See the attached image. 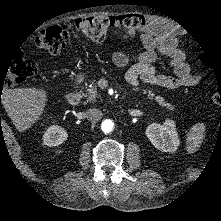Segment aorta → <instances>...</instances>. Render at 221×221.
I'll use <instances>...</instances> for the list:
<instances>
[{"label":"aorta","instance_id":"1","mask_svg":"<svg viewBox=\"0 0 221 221\" xmlns=\"http://www.w3.org/2000/svg\"><path fill=\"white\" fill-rule=\"evenodd\" d=\"M101 128L104 133H111L115 128V124L111 119H106L102 122Z\"/></svg>","mask_w":221,"mask_h":221}]
</instances>
